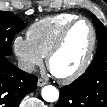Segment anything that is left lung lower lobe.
Returning <instances> with one entry per match:
<instances>
[{
  "label": "left lung lower lobe",
  "mask_w": 107,
  "mask_h": 107,
  "mask_svg": "<svg viewBox=\"0 0 107 107\" xmlns=\"http://www.w3.org/2000/svg\"><path fill=\"white\" fill-rule=\"evenodd\" d=\"M106 57L105 52L99 50L93 64L89 66L90 82L74 81L62 87L55 107H107Z\"/></svg>",
  "instance_id": "obj_1"
}]
</instances>
